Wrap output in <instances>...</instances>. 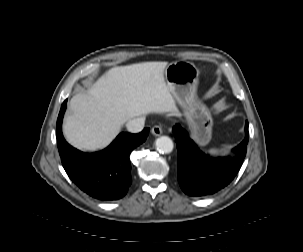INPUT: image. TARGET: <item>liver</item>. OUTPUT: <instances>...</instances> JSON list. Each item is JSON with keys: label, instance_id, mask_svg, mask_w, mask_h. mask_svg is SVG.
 <instances>
[{"label": "liver", "instance_id": "obj_1", "mask_svg": "<svg viewBox=\"0 0 303 252\" xmlns=\"http://www.w3.org/2000/svg\"><path fill=\"white\" fill-rule=\"evenodd\" d=\"M167 62H143L111 68L87 93L70 101L63 124L67 141L95 151L107 146L121 126L149 113L177 115L175 99L164 77Z\"/></svg>", "mask_w": 303, "mask_h": 252}]
</instances>
